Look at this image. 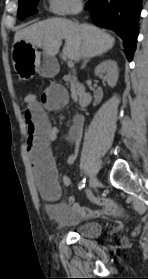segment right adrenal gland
Listing matches in <instances>:
<instances>
[{
	"mask_svg": "<svg viewBox=\"0 0 148 279\" xmlns=\"http://www.w3.org/2000/svg\"><path fill=\"white\" fill-rule=\"evenodd\" d=\"M90 60V58H88L87 60H85L84 62H83V64H82V68H84L85 66H86V64H87V62Z\"/></svg>",
	"mask_w": 148,
	"mask_h": 279,
	"instance_id": "obj_1",
	"label": "right adrenal gland"
}]
</instances>
